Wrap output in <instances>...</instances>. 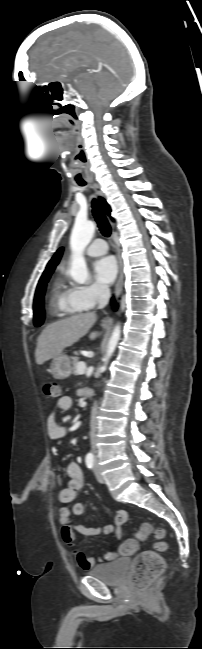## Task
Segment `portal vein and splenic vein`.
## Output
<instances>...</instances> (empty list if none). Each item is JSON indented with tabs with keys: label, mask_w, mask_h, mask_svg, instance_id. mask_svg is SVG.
Instances as JSON below:
<instances>
[{
	"label": "portal vein and splenic vein",
	"mask_w": 202,
	"mask_h": 649,
	"mask_svg": "<svg viewBox=\"0 0 202 649\" xmlns=\"http://www.w3.org/2000/svg\"><path fill=\"white\" fill-rule=\"evenodd\" d=\"M78 372L80 375L84 374L86 372V365L84 362H79L78 363Z\"/></svg>",
	"instance_id": "1"
}]
</instances>
